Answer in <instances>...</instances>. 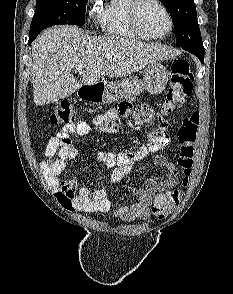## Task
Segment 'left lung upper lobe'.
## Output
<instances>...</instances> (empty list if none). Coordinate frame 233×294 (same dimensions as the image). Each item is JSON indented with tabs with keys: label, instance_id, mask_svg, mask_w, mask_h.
<instances>
[{
	"label": "left lung upper lobe",
	"instance_id": "5c2ea615",
	"mask_svg": "<svg viewBox=\"0 0 233 294\" xmlns=\"http://www.w3.org/2000/svg\"><path fill=\"white\" fill-rule=\"evenodd\" d=\"M174 22L176 44L204 60V47L194 0H160Z\"/></svg>",
	"mask_w": 233,
	"mask_h": 294
}]
</instances>
